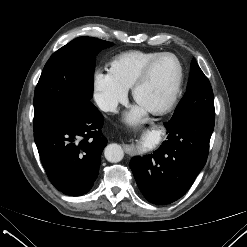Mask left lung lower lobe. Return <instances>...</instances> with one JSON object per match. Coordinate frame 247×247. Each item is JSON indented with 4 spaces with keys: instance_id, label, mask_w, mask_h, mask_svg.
Instances as JSON below:
<instances>
[{
    "instance_id": "left-lung-lower-lobe-1",
    "label": "left lung lower lobe",
    "mask_w": 247,
    "mask_h": 247,
    "mask_svg": "<svg viewBox=\"0 0 247 247\" xmlns=\"http://www.w3.org/2000/svg\"><path fill=\"white\" fill-rule=\"evenodd\" d=\"M164 125L168 140L153 154L130 162L140 191L157 205L178 200L193 184L207 161L214 119L190 113Z\"/></svg>"
}]
</instances>
